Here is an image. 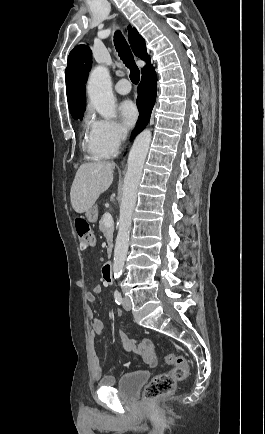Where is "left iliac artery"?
I'll return each mask as SVG.
<instances>
[{"label":"left iliac artery","instance_id":"obj_1","mask_svg":"<svg viewBox=\"0 0 265 434\" xmlns=\"http://www.w3.org/2000/svg\"><path fill=\"white\" fill-rule=\"evenodd\" d=\"M114 298H115V302L120 305L122 303V296L121 293L118 290H115L114 292Z\"/></svg>","mask_w":265,"mask_h":434}]
</instances>
